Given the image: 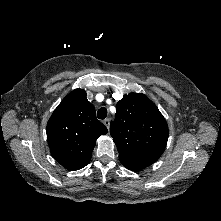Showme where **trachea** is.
Instances as JSON below:
<instances>
[{
  "mask_svg": "<svg viewBox=\"0 0 221 221\" xmlns=\"http://www.w3.org/2000/svg\"><path fill=\"white\" fill-rule=\"evenodd\" d=\"M107 116V109L105 107L100 108L97 111V117L101 120L105 119Z\"/></svg>",
  "mask_w": 221,
  "mask_h": 221,
  "instance_id": "trachea-1",
  "label": "trachea"
}]
</instances>
